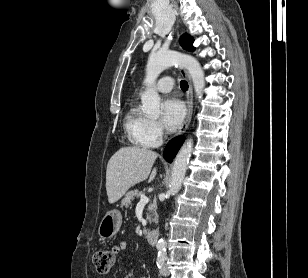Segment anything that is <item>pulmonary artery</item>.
<instances>
[{"label":"pulmonary artery","instance_id":"1","mask_svg":"<svg viewBox=\"0 0 308 278\" xmlns=\"http://www.w3.org/2000/svg\"><path fill=\"white\" fill-rule=\"evenodd\" d=\"M174 81L171 77H163L156 84V90L161 93H168L172 90Z\"/></svg>","mask_w":308,"mask_h":278}]
</instances>
